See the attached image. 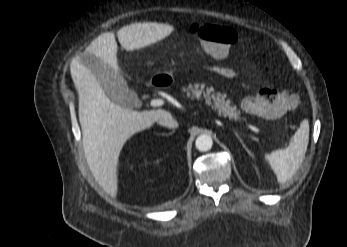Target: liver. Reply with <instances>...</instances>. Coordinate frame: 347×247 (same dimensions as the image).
I'll return each instance as SVG.
<instances>
[{"label": "liver", "instance_id": "1", "mask_svg": "<svg viewBox=\"0 0 347 247\" xmlns=\"http://www.w3.org/2000/svg\"><path fill=\"white\" fill-rule=\"evenodd\" d=\"M173 27L162 23H137L117 31L127 51L140 49L165 38ZM115 35L106 32L94 39L70 64V74L79 94V122L88 165L103 189L114 196L118 190V160L126 141L149 128L165 110L134 111L119 106L104 93L81 56L91 54L119 71Z\"/></svg>", "mask_w": 347, "mask_h": 247}]
</instances>
